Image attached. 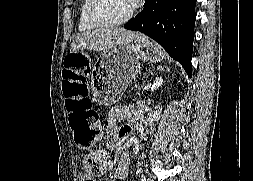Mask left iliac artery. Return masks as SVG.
<instances>
[{
	"instance_id": "left-iliac-artery-1",
	"label": "left iliac artery",
	"mask_w": 253,
	"mask_h": 181,
	"mask_svg": "<svg viewBox=\"0 0 253 181\" xmlns=\"http://www.w3.org/2000/svg\"><path fill=\"white\" fill-rule=\"evenodd\" d=\"M141 181H147L146 180V177L142 174V176H141Z\"/></svg>"
}]
</instances>
